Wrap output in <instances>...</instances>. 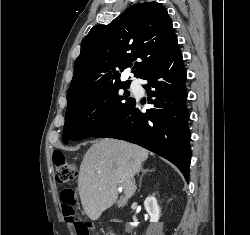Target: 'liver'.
I'll return each mask as SVG.
<instances>
[{"mask_svg": "<svg viewBox=\"0 0 250 235\" xmlns=\"http://www.w3.org/2000/svg\"><path fill=\"white\" fill-rule=\"evenodd\" d=\"M149 152L121 140L102 139L86 152L80 166L78 190L87 216L95 221L117 202L118 186L125 200L136 191L134 176L141 170Z\"/></svg>", "mask_w": 250, "mask_h": 235, "instance_id": "1", "label": "liver"}]
</instances>
